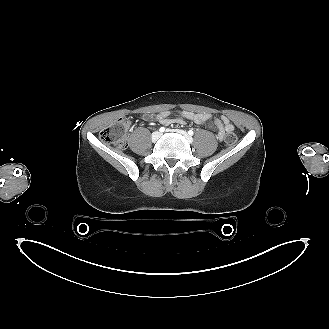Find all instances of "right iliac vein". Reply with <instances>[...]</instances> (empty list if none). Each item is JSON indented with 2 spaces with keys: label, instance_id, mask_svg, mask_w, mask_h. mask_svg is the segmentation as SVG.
Wrapping results in <instances>:
<instances>
[{
  "label": "right iliac vein",
  "instance_id": "1",
  "mask_svg": "<svg viewBox=\"0 0 329 329\" xmlns=\"http://www.w3.org/2000/svg\"><path fill=\"white\" fill-rule=\"evenodd\" d=\"M160 133L159 132H154L152 134V141L155 142L159 137H160Z\"/></svg>",
  "mask_w": 329,
  "mask_h": 329
}]
</instances>
